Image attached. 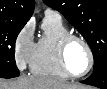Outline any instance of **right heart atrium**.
<instances>
[{
  "label": "right heart atrium",
  "mask_w": 107,
  "mask_h": 89,
  "mask_svg": "<svg viewBox=\"0 0 107 89\" xmlns=\"http://www.w3.org/2000/svg\"><path fill=\"white\" fill-rule=\"evenodd\" d=\"M34 47V25L28 22L17 34L14 41V57L21 70L30 64Z\"/></svg>",
  "instance_id": "right-heart-atrium-1"
}]
</instances>
